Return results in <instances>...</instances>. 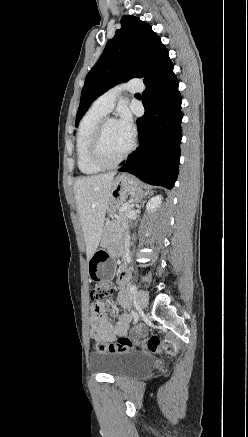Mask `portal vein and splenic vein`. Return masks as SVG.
Segmentation results:
<instances>
[{
	"instance_id": "portal-vein-and-splenic-vein-1",
	"label": "portal vein and splenic vein",
	"mask_w": 248,
	"mask_h": 437,
	"mask_svg": "<svg viewBox=\"0 0 248 437\" xmlns=\"http://www.w3.org/2000/svg\"><path fill=\"white\" fill-rule=\"evenodd\" d=\"M129 207V204H124L121 206L119 212H123L124 210H126Z\"/></svg>"
}]
</instances>
